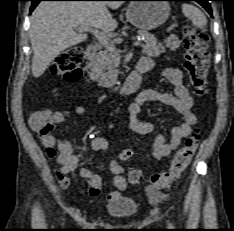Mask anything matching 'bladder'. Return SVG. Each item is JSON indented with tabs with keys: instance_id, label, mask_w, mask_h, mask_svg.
<instances>
[{
	"instance_id": "31cf9c89",
	"label": "bladder",
	"mask_w": 234,
	"mask_h": 231,
	"mask_svg": "<svg viewBox=\"0 0 234 231\" xmlns=\"http://www.w3.org/2000/svg\"><path fill=\"white\" fill-rule=\"evenodd\" d=\"M139 210L136 200L122 196L106 206L109 215L119 219H128L134 217Z\"/></svg>"
}]
</instances>
